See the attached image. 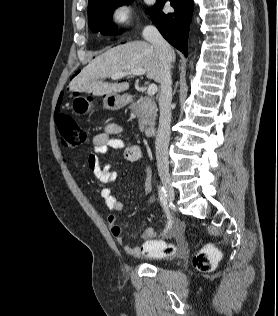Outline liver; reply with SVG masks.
<instances>
[{"mask_svg": "<svg viewBox=\"0 0 278 316\" xmlns=\"http://www.w3.org/2000/svg\"><path fill=\"white\" fill-rule=\"evenodd\" d=\"M175 61L173 51L172 62ZM144 68L146 77L161 83L163 62L150 42L134 41L119 45L93 59L69 84L70 91H85L96 96L117 94L129 89V82L106 83L102 79L121 72Z\"/></svg>", "mask_w": 278, "mask_h": 316, "instance_id": "obj_1", "label": "liver"}]
</instances>
